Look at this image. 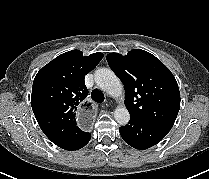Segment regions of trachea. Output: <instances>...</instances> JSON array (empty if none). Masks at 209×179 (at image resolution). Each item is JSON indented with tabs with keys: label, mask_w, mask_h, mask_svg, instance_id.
Wrapping results in <instances>:
<instances>
[{
	"label": "trachea",
	"mask_w": 209,
	"mask_h": 179,
	"mask_svg": "<svg viewBox=\"0 0 209 179\" xmlns=\"http://www.w3.org/2000/svg\"><path fill=\"white\" fill-rule=\"evenodd\" d=\"M91 98L97 103H102L105 99L103 93L98 89L92 91Z\"/></svg>",
	"instance_id": "obj_1"
}]
</instances>
